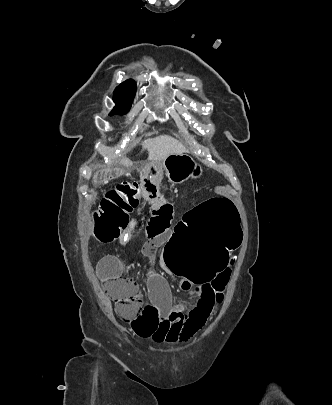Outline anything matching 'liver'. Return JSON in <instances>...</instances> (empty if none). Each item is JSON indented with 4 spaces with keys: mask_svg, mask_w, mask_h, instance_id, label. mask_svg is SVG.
Listing matches in <instances>:
<instances>
[{
    "mask_svg": "<svg viewBox=\"0 0 332 405\" xmlns=\"http://www.w3.org/2000/svg\"><path fill=\"white\" fill-rule=\"evenodd\" d=\"M142 148L148 151V160L153 162L164 160L171 154H184L186 152L185 146L179 140L168 135L144 140Z\"/></svg>",
    "mask_w": 332,
    "mask_h": 405,
    "instance_id": "obj_1",
    "label": "liver"
}]
</instances>
